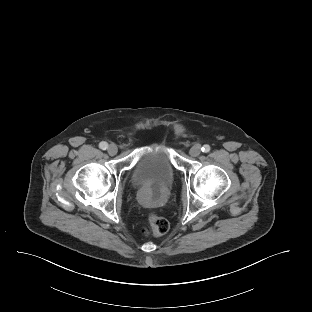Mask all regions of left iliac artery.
<instances>
[{"label":"left iliac artery","instance_id":"obj_1","mask_svg":"<svg viewBox=\"0 0 312 312\" xmlns=\"http://www.w3.org/2000/svg\"><path fill=\"white\" fill-rule=\"evenodd\" d=\"M210 146L209 145H204L202 148H201V151L204 152V153H207L210 151Z\"/></svg>","mask_w":312,"mask_h":312}]
</instances>
